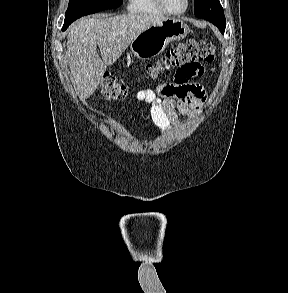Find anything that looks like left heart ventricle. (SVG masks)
<instances>
[{"label":"left heart ventricle","mask_w":288,"mask_h":293,"mask_svg":"<svg viewBox=\"0 0 288 293\" xmlns=\"http://www.w3.org/2000/svg\"><path fill=\"white\" fill-rule=\"evenodd\" d=\"M166 6L172 11H180L185 6V0H163Z\"/></svg>","instance_id":"1"}]
</instances>
